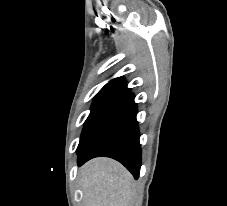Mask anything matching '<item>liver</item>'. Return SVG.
Here are the masks:
<instances>
[{"mask_svg":"<svg viewBox=\"0 0 227 206\" xmlns=\"http://www.w3.org/2000/svg\"><path fill=\"white\" fill-rule=\"evenodd\" d=\"M84 206H131L134 181L128 170L110 158H95L80 169Z\"/></svg>","mask_w":227,"mask_h":206,"instance_id":"1","label":"liver"}]
</instances>
